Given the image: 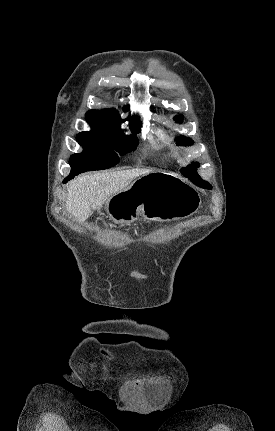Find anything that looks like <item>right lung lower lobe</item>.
<instances>
[{"mask_svg": "<svg viewBox=\"0 0 275 431\" xmlns=\"http://www.w3.org/2000/svg\"><path fill=\"white\" fill-rule=\"evenodd\" d=\"M74 176H76V175H72V176L69 175L63 182L66 183L68 180L72 179Z\"/></svg>", "mask_w": 275, "mask_h": 431, "instance_id": "98d812e1", "label": "right lung lower lobe"}]
</instances>
